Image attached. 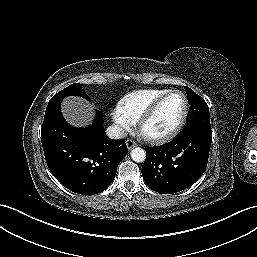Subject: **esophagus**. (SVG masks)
<instances>
[{
  "mask_svg": "<svg viewBox=\"0 0 257 257\" xmlns=\"http://www.w3.org/2000/svg\"><path fill=\"white\" fill-rule=\"evenodd\" d=\"M136 142L133 141L132 139L126 140V146L128 150H131L132 148L136 147Z\"/></svg>",
  "mask_w": 257,
  "mask_h": 257,
  "instance_id": "esophagus-1",
  "label": "esophagus"
}]
</instances>
